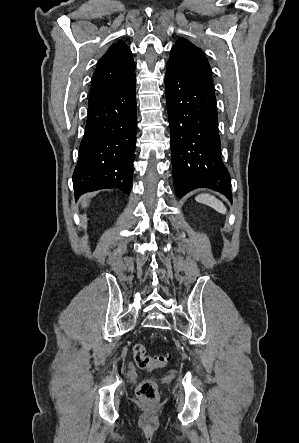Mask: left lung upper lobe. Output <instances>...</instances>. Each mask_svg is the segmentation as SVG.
I'll use <instances>...</instances> for the list:
<instances>
[{
    "label": "left lung upper lobe",
    "mask_w": 299,
    "mask_h": 443,
    "mask_svg": "<svg viewBox=\"0 0 299 443\" xmlns=\"http://www.w3.org/2000/svg\"><path fill=\"white\" fill-rule=\"evenodd\" d=\"M175 66L192 80L202 84L214 92L211 68L204 53L184 38H180L173 46L170 60Z\"/></svg>",
    "instance_id": "1"
}]
</instances>
